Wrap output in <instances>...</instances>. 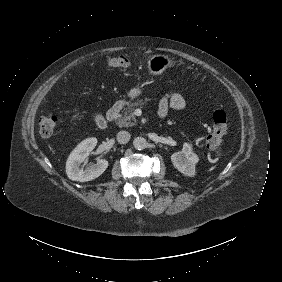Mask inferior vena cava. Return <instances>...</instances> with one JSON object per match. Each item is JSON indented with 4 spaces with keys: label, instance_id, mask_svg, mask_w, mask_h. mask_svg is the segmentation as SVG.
I'll use <instances>...</instances> for the list:
<instances>
[{
    "label": "inferior vena cava",
    "instance_id": "1",
    "mask_svg": "<svg viewBox=\"0 0 282 282\" xmlns=\"http://www.w3.org/2000/svg\"><path fill=\"white\" fill-rule=\"evenodd\" d=\"M130 140V133L128 131H119L117 133V141L120 144H126Z\"/></svg>",
    "mask_w": 282,
    "mask_h": 282
}]
</instances>
